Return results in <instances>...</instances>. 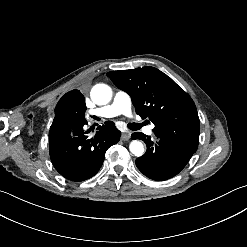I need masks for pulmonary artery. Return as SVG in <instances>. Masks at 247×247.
<instances>
[{
  "mask_svg": "<svg viewBox=\"0 0 247 247\" xmlns=\"http://www.w3.org/2000/svg\"><path fill=\"white\" fill-rule=\"evenodd\" d=\"M131 109L132 96L124 90H117L110 104L87 111L85 118L88 123H91L94 116L99 118H114L120 114H126L130 116ZM135 123H140V118H135ZM154 128L155 124L149 125L146 128V133L148 135L154 136ZM137 129H143V124H137ZM140 133L145 134V131H140Z\"/></svg>",
  "mask_w": 247,
  "mask_h": 247,
  "instance_id": "pulmonary-artery-1",
  "label": "pulmonary artery"
}]
</instances>
